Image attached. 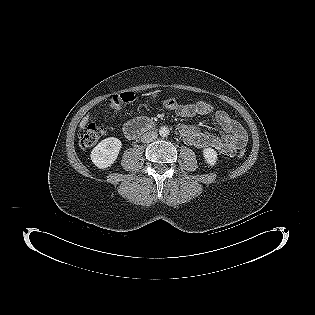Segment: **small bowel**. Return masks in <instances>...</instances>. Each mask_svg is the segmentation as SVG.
I'll use <instances>...</instances> for the list:
<instances>
[{
  "label": "small bowel",
  "instance_id": "1",
  "mask_svg": "<svg viewBox=\"0 0 315 315\" xmlns=\"http://www.w3.org/2000/svg\"><path fill=\"white\" fill-rule=\"evenodd\" d=\"M170 110L184 118H191L196 115L213 116L214 122L220 128V135H212L200 131L197 126L178 124L177 131L188 145L196 148H213L222 155L232 156L239 149H242L247 142V134L240 123L225 111H215L214 106L208 101L180 103L176 108Z\"/></svg>",
  "mask_w": 315,
  "mask_h": 315
}]
</instances>
